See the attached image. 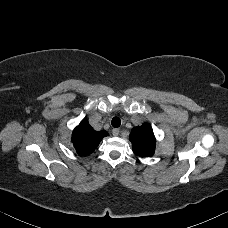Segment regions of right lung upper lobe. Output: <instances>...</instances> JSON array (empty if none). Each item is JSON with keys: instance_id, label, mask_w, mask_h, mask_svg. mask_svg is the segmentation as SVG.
I'll return each instance as SVG.
<instances>
[{"instance_id": "right-lung-upper-lobe-1", "label": "right lung upper lobe", "mask_w": 228, "mask_h": 228, "mask_svg": "<svg viewBox=\"0 0 228 228\" xmlns=\"http://www.w3.org/2000/svg\"><path fill=\"white\" fill-rule=\"evenodd\" d=\"M105 136H108L106 131L97 132L86 120H82L73 131L72 143L79 155L86 156L96 149Z\"/></svg>"}]
</instances>
